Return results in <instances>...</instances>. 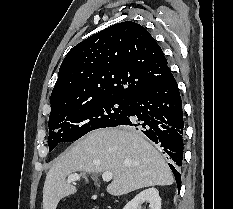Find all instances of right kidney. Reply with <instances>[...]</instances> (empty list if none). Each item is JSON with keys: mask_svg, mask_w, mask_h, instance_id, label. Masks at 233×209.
<instances>
[{"mask_svg": "<svg viewBox=\"0 0 233 209\" xmlns=\"http://www.w3.org/2000/svg\"><path fill=\"white\" fill-rule=\"evenodd\" d=\"M144 202L149 203L150 209H161V198L156 188H149L135 196L123 209H141Z\"/></svg>", "mask_w": 233, "mask_h": 209, "instance_id": "obj_1", "label": "right kidney"}]
</instances>
